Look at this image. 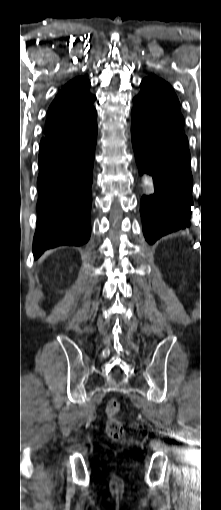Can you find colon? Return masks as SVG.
I'll list each match as a JSON object with an SVG mask.
<instances>
[{"instance_id":"1","label":"colon","mask_w":221,"mask_h":510,"mask_svg":"<svg viewBox=\"0 0 221 510\" xmlns=\"http://www.w3.org/2000/svg\"><path fill=\"white\" fill-rule=\"evenodd\" d=\"M121 408L120 401L111 399L106 406L107 421L105 425L106 434L113 441L119 442L124 438V427L122 422L117 418Z\"/></svg>"}]
</instances>
